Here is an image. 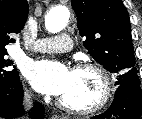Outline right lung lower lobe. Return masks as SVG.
Instances as JSON below:
<instances>
[{
	"label": "right lung lower lobe",
	"instance_id": "obj_1",
	"mask_svg": "<svg viewBox=\"0 0 142 119\" xmlns=\"http://www.w3.org/2000/svg\"><path fill=\"white\" fill-rule=\"evenodd\" d=\"M23 89L20 79L7 86H0V117L10 119L23 114L22 99ZM30 116L42 119L44 117V107L37 104L33 107Z\"/></svg>",
	"mask_w": 142,
	"mask_h": 119
}]
</instances>
